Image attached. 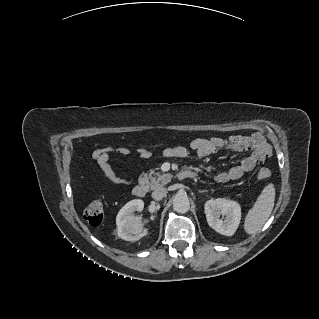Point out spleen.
Returning a JSON list of instances; mask_svg holds the SVG:
<instances>
[{"label":"spleen","mask_w":319,"mask_h":319,"mask_svg":"<svg viewBox=\"0 0 319 319\" xmlns=\"http://www.w3.org/2000/svg\"><path fill=\"white\" fill-rule=\"evenodd\" d=\"M275 194V187L272 183L264 187L245 217L244 230L246 233L254 234L266 223L274 207Z\"/></svg>","instance_id":"3e777b00"}]
</instances>
